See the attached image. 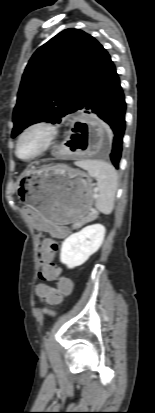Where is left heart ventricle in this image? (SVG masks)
Returning a JSON list of instances; mask_svg holds the SVG:
<instances>
[{
  "mask_svg": "<svg viewBox=\"0 0 155 413\" xmlns=\"http://www.w3.org/2000/svg\"><path fill=\"white\" fill-rule=\"evenodd\" d=\"M46 139L45 131L35 129L24 136L19 145V155L23 158H29L36 154L43 146Z\"/></svg>",
  "mask_w": 155,
  "mask_h": 413,
  "instance_id": "left-heart-ventricle-1",
  "label": "left heart ventricle"
}]
</instances>
